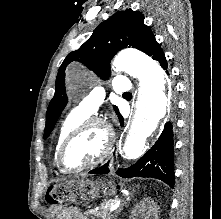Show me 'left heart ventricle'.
Wrapping results in <instances>:
<instances>
[{
    "mask_svg": "<svg viewBox=\"0 0 221 219\" xmlns=\"http://www.w3.org/2000/svg\"><path fill=\"white\" fill-rule=\"evenodd\" d=\"M105 133L99 126L87 128L68 146L65 163L77 168L96 159L105 146Z\"/></svg>",
    "mask_w": 221,
    "mask_h": 219,
    "instance_id": "left-heart-ventricle-1",
    "label": "left heart ventricle"
}]
</instances>
